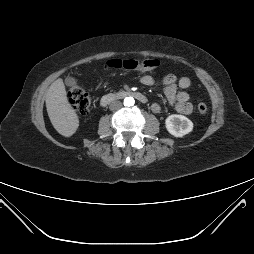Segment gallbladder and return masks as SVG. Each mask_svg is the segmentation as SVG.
<instances>
[{"label": "gallbladder", "mask_w": 254, "mask_h": 254, "mask_svg": "<svg viewBox=\"0 0 254 254\" xmlns=\"http://www.w3.org/2000/svg\"><path fill=\"white\" fill-rule=\"evenodd\" d=\"M65 84H66L67 86H73V85L75 84L74 78L68 76V77L65 79Z\"/></svg>", "instance_id": "obj_1"}]
</instances>
